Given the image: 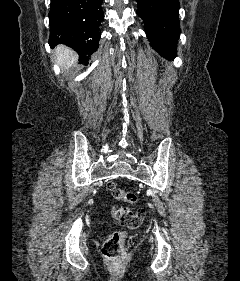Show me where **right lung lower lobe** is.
<instances>
[{"mask_svg": "<svg viewBox=\"0 0 240 281\" xmlns=\"http://www.w3.org/2000/svg\"><path fill=\"white\" fill-rule=\"evenodd\" d=\"M103 0H51L49 44H66L87 59L98 49Z\"/></svg>", "mask_w": 240, "mask_h": 281, "instance_id": "obj_1", "label": "right lung lower lobe"}]
</instances>
